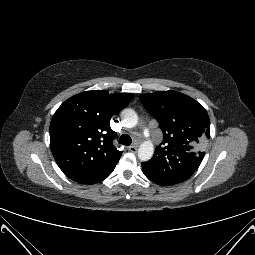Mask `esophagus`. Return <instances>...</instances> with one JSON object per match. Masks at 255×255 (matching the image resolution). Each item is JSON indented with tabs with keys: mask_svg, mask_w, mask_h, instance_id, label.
Here are the masks:
<instances>
[{
	"mask_svg": "<svg viewBox=\"0 0 255 255\" xmlns=\"http://www.w3.org/2000/svg\"><path fill=\"white\" fill-rule=\"evenodd\" d=\"M138 146L137 145H132L128 147V150L132 153L137 152Z\"/></svg>",
	"mask_w": 255,
	"mask_h": 255,
	"instance_id": "obj_1",
	"label": "esophagus"
}]
</instances>
